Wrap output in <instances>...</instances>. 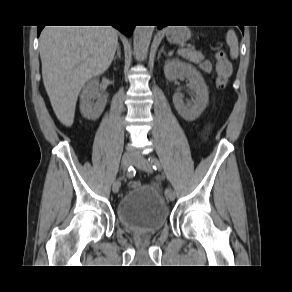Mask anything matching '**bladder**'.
Here are the masks:
<instances>
[{
    "label": "bladder",
    "mask_w": 292,
    "mask_h": 292,
    "mask_svg": "<svg viewBox=\"0 0 292 292\" xmlns=\"http://www.w3.org/2000/svg\"><path fill=\"white\" fill-rule=\"evenodd\" d=\"M120 225L133 233H157L167 224L169 207L153 185L131 188L117 204Z\"/></svg>",
    "instance_id": "31cf9c89"
}]
</instances>
